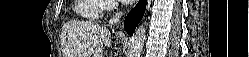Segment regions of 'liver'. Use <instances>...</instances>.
<instances>
[{"label": "liver", "instance_id": "liver-1", "mask_svg": "<svg viewBox=\"0 0 249 57\" xmlns=\"http://www.w3.org/2000/svg\"><path fill=\"white\" fill-rule=\"evenodd\" d=\"M111 42V32L93 22L71 21L63 27L65 57H103Z\"/></svg>", "mask_w": 249, "mask_h": 57}]
</instances>
